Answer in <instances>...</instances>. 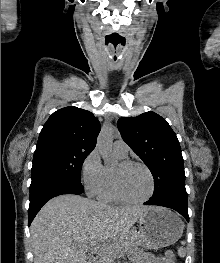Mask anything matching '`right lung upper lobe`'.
<instances>
[{
    "instance_id": "right-lung-upper-lobe-1",
    "label": "right lung upper lobe",
    "mask_w": 220,
    "mask_h": 263,
    "mask_svg": "<svg viewBox=\"0 0 220 263\" xmlns=\"http://www.w3.org/2000/svg\"><path fill=\"white\" fill-rule=\"evenodd\" d=\"M100 123L84 109L69 106L54 112L44 124L35 152L54 148L92 151Z\"/></svg>"
}]
</instances>
